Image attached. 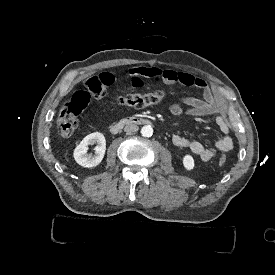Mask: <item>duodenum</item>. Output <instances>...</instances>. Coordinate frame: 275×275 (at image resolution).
Here are the masks:
<instances>
[{
    "instance_id": "410a0bca",
    "label": "duodenum",
    "mask_w": 275,
    "mask_h": 275,
    "mask_svg": "<svg viewBox=\"0 0 275 275\" xmlns=\"http://www.w3.org/2000/svg\"><path fill=\"white\" fill-rule=\"evenodd\" d=\"M152 121L147 117L142 116H131L124 119H121L114 123L110 127V132L115 134L118 131H120L125 126L135 125V126H144V125H150Z\"/></svg>"
}]
</instances>
